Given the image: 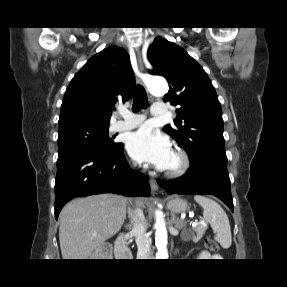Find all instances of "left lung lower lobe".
<instances>
[{"instance_id":"obj_1","label":"left lung lower lobe","mask_w":287,"mask_h":287,"mask_svg":"<svg viewBox=\"0 0 287 287\" xmlns=\"http://www.w3.org/2000/svg\"><path fill=\"white\" fill-rule=\"evenodd\" d=\"M169 194H210L221 199L232 211L228 170L216 166L189 169L185 175L170 181L157 180Z\"/></svg>"}]
</instances>
